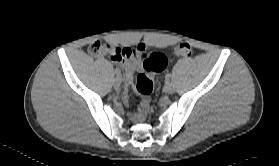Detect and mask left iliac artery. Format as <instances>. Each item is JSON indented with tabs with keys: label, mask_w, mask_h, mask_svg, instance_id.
Listing matches in <instances>:
<instances>
[{
	"label": "left iliac artery",
	"mask_w": 279,
	"mask_h": 166,
	"mask_svg": "<svg viewBox=\"0 0 279 166\" xmlns=\"http://www.w3.org/2000/svg\"><path fill=\"white\" fill-rule=\"evenodd\" d=\"M170 77H171V74H170V73H167V74L165 75L166 80H169Z\"/></svg>",
	"instance_id": "obj_1"
}]
</instances>
